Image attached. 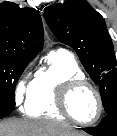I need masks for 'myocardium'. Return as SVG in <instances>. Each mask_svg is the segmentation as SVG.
<instances>
[{
  "label": "myocardium",
  "mask_w": 117,
  "mask_h": 136,
  "mask_svg": "<svg viewBox=\"0 0 117 136\" xmlns=\"http://www.w3.org/2000/svg\"><path fill=\"white\" fill-rule=\"evenodd\" d=\"M90 89L97 100L98 104V111L94 119L89 121H84L78 119L71 110V100L73 96L81 89ZM56 105L60 113L73 121L74 123L81 124V125H92L95 124L102 116L103 113V100L100 91L97 89L96 86H94L92 83L87 81L86 79H70L64 84L60 86L57 92V98H56Z\"/></svg>",
  "instance_id": "1"
}]
</instances>
